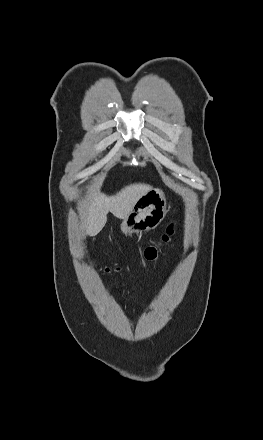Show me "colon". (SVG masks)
Segmentation results:
<instances>
[{"label": "colon", "mask_w": 263, "mask_h": 440, "mask_svg": "<svg viewBox=\"0 0 263 440\" xmlns=\"http://www.w3.org/2000/svg\"><path fill=\"white\" fill-rule=\"evenodd\" d=\"M176 226L174 223L170 224L166 232L161 236L160 240L151 246H148L145 248L143 253V262L144 263H151L155 262L160 254L165 250L167 247L171 246L174 240Z\"/></svg>", "instance_id": "colon-1"}]
</instances>
